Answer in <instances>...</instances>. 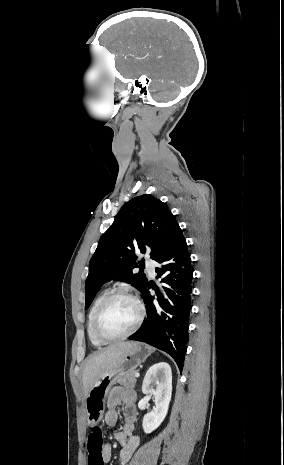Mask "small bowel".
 <instances>
[{"label": "small bowel", "instance_id": "1", "mask_svg": "<svg viewBox=\"0 0 284 465\" xmlns=\"http://www.w3.org/2000/svg\"><path fill=\"white\" fill-rule=\"evenodd\" d=\"M136 393L133 390H124L120 386L111 389L108 395L107 412L105 423L114 426L119 418V408L123 406L124 425L122 429L114 433V438L121 444L120 461L127 465L132 455L139 446V437L135 434V421L137 412L134 408ZM104 461L109 462L112 458V448L106 444L103 448Z\"/></svg>", "mask_w": 284, "mask_h": 465}]
</instances>
